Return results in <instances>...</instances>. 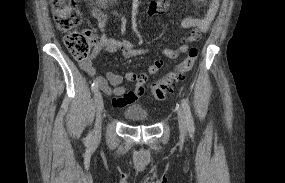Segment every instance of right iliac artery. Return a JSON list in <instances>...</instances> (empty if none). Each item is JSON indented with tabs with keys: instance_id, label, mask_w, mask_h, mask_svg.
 I'll list each match as a JSON object with an SVG mask.
<instances>
[{
	"instance_id": "1",
	"label": "right iliac artery",
	"mask_w": 285,
	"mask_h": 183,
	"mask_svg": "<svg viewBox=\"0 0 285 183\" xmlns=\"http://www.w3.org/2000/svg\"><path fill=\"white\" fill-rule=\"evenodd\" d=\"M97 89H98V84H97L96 82H94V83L92 84V90H93V91H96ZM86 140H87V142H89V141L91 140V134H89V135L87 136Z\"/></svg>"
}]
</instances>
